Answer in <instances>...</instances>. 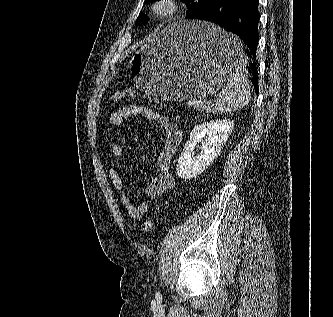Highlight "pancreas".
<instances>
[{"label": "pancreas", "instance_id": "cf45deb5", "mask_svg": "<svg viewBox=\"0 0 333 317\" xmlns=\"http://www.w3.org/2000/svg\"><path fill=\"white\" fill-rule=\"evenodd\" d=\"M196 108H198L200 111L211 110V104L200 102L198 105H196Z\"/></svg>", "mask_w": 333, "mask_h": 317}]
</instances>
